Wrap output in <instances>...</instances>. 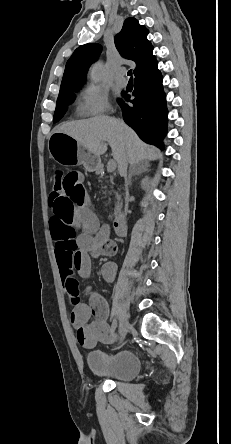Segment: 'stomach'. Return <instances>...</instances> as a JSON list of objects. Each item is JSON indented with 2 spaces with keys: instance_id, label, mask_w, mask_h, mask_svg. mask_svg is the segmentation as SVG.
I'll list each match as a JSON object with an SVG mask.
<instances>
[{
  "instance_id": "obj_1",
  "label": "stomach",
  "mask_w": 231,
  "mask_h": 444,
  "mask_svg": "<svg viewBox=\"0 0 231 444\" xmlns=\"http://www.w3.org/2000/svg\"><path fill=\"white\" fill-rule=\"evenodd\" d=\"M51 157L63 165L82 164L86 170L93 172L100 167V157L88 151L71 136L54 132L48 142Z\"/></svg>"
}]
</instances>
